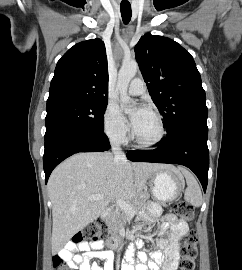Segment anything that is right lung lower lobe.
I'll return each mask as SVG.
<instances>
[{"label": "right lung lower lobe", "instance_id": "obj_1", "mask_svg": "<svg viewBox=\"0 0 242 270\" xmlns=\"http://www.w3.org/2000/svg\"><path fill=\"white\" fill-rule=\"evenodd\" d=\"M110 149L107 136L75 127L56 128L45 133L43 166L45 182L64 159L78 152H103Z\"/></svg>", "mask_w": 242, "mask_h": 270}]
</instances>
